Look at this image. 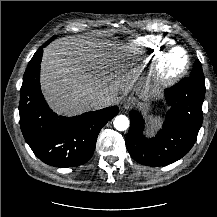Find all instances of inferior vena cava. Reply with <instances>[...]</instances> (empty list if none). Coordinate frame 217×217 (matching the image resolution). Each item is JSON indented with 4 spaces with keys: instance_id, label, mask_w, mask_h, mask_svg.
<instances>
[{
    "instance_id": "1",
    "label": "inferior vena cava",
    "mask_w": 217,
    "mask_h": 217,
    "mask_svg": "<svg viewBox=\"0 0 217 217\" xmlns=\"http://www.w3.org/2000/svg\"><path fill=\"white\" fill-rule=\"evenodd\" d=\"M88 105L92 110H98L113 104V99L102 95H91L87 98Z\"/></svg>"
}]
</instances>
